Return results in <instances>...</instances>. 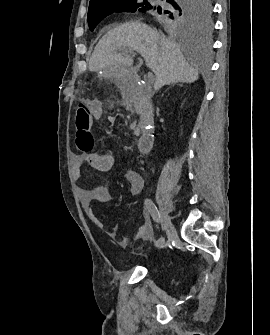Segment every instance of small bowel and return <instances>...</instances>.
<instances>
[{"mask_svg":"<svg viewBox=\"0 0 270 335\" xmlns=\"http://www.w3.org/2000/svg\"><path fill=\"white\" fill-rule=\"evenodd\" d=\"M92 108V115L95 119H100L103 116V110L96 101H90ZM131 151L130 147L124 148L125 153ZM115 163V156L113 154H105L94 152L91 154H76L73 157V176L76 180H80L88 164L93 169L98 171H109ZM126 181L130 185V192L132 195H137L143 188V179L140 173L132 168H128L124 173ZM80 199L88 217L94 224L104 230L107 235L115 236L118 226H114L112 230H108L107 225L95 214L94 203L107 204L111 201V194L104 187L95 188H80ZM144 222L135 234V239H148L152 236L153 230L149 221V214L147 210H143Z\"/></svg>","mask_w":270,"mask_h":335,"instance_id":"small-bowel-1","label":"small bowel"}]
</instances>
